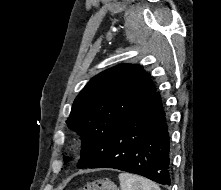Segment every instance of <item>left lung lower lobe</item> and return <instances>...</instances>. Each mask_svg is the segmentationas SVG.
Returning <instances> with one entry per match:
<instances>
[{"instance_id":"left-lung-lower-lobe-1","label":"left lung lower lobe","mask_w":221,"mask_h":190,"mask_svg":"<svg viewBox=\"0 0 221 190\" xmlns=\"http://www.w3.org/2000/svg\"><path fill=\"white\" fill-rule=\"evenodd\" d=\"M89 168H115L170 184V137L157 90L116 129Z\"/></svg>"}]
</instances>
